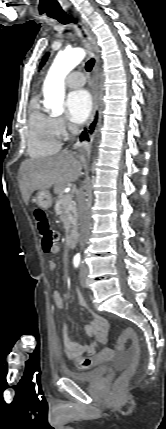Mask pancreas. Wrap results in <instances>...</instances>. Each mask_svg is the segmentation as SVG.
I'll return each instance as SVG.
<instances>
[{"mask_svg":"<svg viewBox=\"0 0 166 429\" xmlns=\"http://www.w3.org/2000/svg\"><path fill=\"white\" fill-rule=\"evenodd\" d=\"M68 195L61 197L57 200L55 205V212L61 217L67 218L70 228L75 229L77 225V210L76 204L72 200V197L68 200Z\"/></svg>","mask_w":166,"mask_h":429,"instance_id":"cf45deb5","label":"pancreas"}]
</instances>
